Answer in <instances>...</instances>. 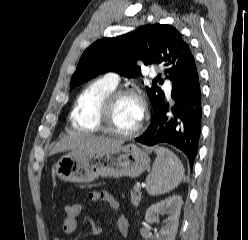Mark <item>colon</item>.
<instances>
[{
    "instance_id": "5ec220e1",
    "label": "colon",
    "mask_w": 248,
    "mask_h": 240,
    "mask_svg": "<svg viewBox=\"0 0 248 240\" xmlns=\"http://www.w3.org/2000/svg\"><path fill=\"white\" fill-rule=\"evenodd\" d=\"M82 210V205L79 202H69L64 206L65 217H77Z\"/></svg>"
}]
</instances>
